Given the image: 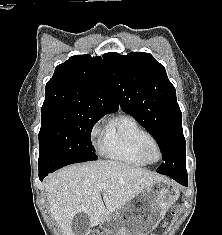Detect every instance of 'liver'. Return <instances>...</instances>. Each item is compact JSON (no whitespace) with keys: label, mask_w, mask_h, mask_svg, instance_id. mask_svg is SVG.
<instances>
[{"label":"liver","mask_w":222,"mask_h":235,"mask_svg":"<svg viewBox=\"0 0 222 235\" xmlns=\"http://www.w3.org/2000/svg\"><path fill=\"white\" fill-rule=\"evenodd\" d=\"M162 180L156 173L107 160L60 169L46 179L45 191L63 235H75L72 222L78 213L86 214L89 227H95L143 189ZM102 183L106 188H100Z\"/></svg>","instance_id":"obj_1"}]
</instances>
